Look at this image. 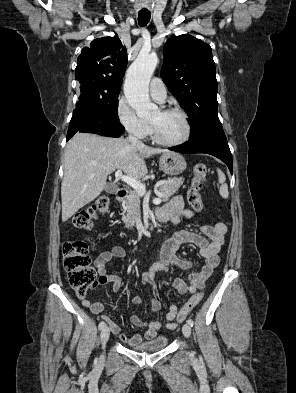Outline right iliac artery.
<instances>
[{
	"label": "right iliac artery",
	"instance_id": "obj_1",
	"mask_svg": "<svg viewBox=\"0 0 296 393\" xmlns=\"http://www.w3.org/2000/svg\"><path fill=\"white\" fill-rule=\"evenodd\" d=\"M105 327V322L104 321H101L100 323H99V329L101 330L102 328H104Z\"/></svg>",
	"mask_w": 296,
	"mask_h": 393
}]
</instances>
